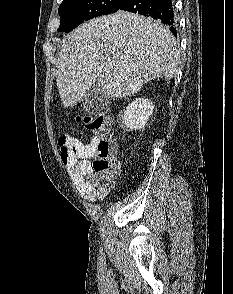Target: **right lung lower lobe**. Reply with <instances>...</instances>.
I'll list each match as a JSON object with an SVG mask.
<instances>
[{
  "label": "right lung lower lobe",
  "instance_id": "98d812e1",
  "mask_svg": "<svg viewBox=\"0 0 233 294\" xmlns=\"http://www.w3.org/2000/svg\"><path fill=\"white\" fill-rule=\"evenodd\" d=\"M119 10L139 13L158 19L166 24L170 31L177 36V22L171 0H125Z\"/></svg>",
  "mask_w": 233,
  "mask_h": 294
}]
</instances>
